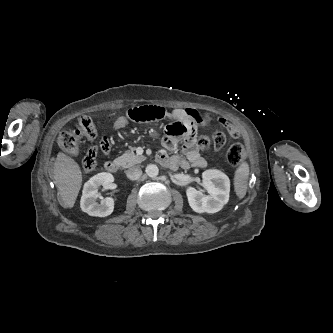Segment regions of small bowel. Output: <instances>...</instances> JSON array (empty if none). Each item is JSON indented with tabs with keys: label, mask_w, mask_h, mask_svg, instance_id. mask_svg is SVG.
Wrapping results in <instances>:
<instances>
[{
	"label": "small bowel",
	"mask_w": 333,
	"mask_h": 333,
	"mask_svg": "<svg viewBox=\"0 0 333 333\" xmlns=\"http://www.w3.org/2000/svg\"><path fill=\"white\" fill-rule=\"evenodd\" d=\"M181 123L187 128V132L182 135H178L169 131L171 127H168L166 136L164 138V147L169 152H175L179 148L180 139H183L182 151L185 158L179 157L177 155L170 156L166 152H162L158 155L157 160L164 166L171 169L183 168L188 169L191 166L204 168L206 166V160L201 156L200 150L195 143L194 134L191 132L190 128L197 124H208L213 117L211 114L204 111L197 110H185L179 114ZM216 120L224 125V129L231 135L232 138L238 137V132L231 122L227 118H216ZM138 122V121H136ZM127 122L123 119H117L115 124H113V129L117 130L127 125Z\"/></svg>",
	"instance_id": "1"
}]
</instances>
